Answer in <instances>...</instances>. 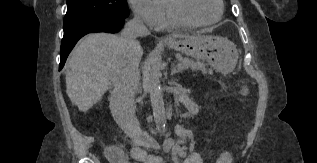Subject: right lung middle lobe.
<instances>
[{
    "instance_id": "obj_1",
    "label": "right lung middle lobe",
    "mask_w": 317,
    "mask_h": 163,
    "mask_svg": "<svg viewBox=\"0 0 317 163\" xmlns=\"http://www.w3.org/2000/svg\"><path fill=\"white\" fill-rule=\"evenodd\" d=\"M67 7L64 31L101 17L129 15L126 0H67Z\"/></svg>"
}]
</instances>
